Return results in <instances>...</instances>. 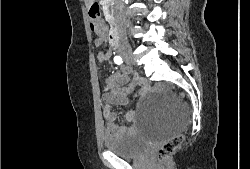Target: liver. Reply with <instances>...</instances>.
<instances>
[{
  "mask_svg": "<svg viewBox=\"0 0 250 169\" xmlns=\"http://www.w3.org/2000/svg\"><path fill=\"white\" fill-rule=\"evenodd\" d=\"M94 0H85V4L87 8H90L91 4H93Z\"/></svg>",
  "mask_w": 250,
  "mask_h": 169,
  "instance_id": "1",
  "label": "liver"
}]
</instances>
